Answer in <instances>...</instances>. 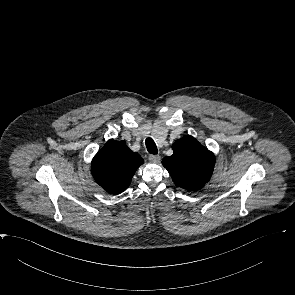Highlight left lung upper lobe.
Segmentation results:
<instances>
[{
	"label": "left lung upper lobe",
	"instance_id": "1",
	"mask_svg": "<svg viewBox=\"0 0 295 295\" xmlns=\"http://www.w3.org/2000/svg\"><path fill=\"white\" fill-rule=\"evenodd\" d=\"M173 155L162 160L176 186L199 190L209 181L215 157L194 137L184 136L172 145Z\"/></svg>",
	"mask_w": 295,
	"mask_h": 295
}]
</instances>
